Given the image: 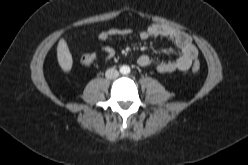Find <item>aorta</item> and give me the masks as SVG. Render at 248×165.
Listing matches in <instances>:
<instances>
[{"label": "aorta", "mask_w": 248, "mask_h": 165, "mask_svg": "<svg viewBox=\"0 0 248 165\" xmlns=\"http://www.w3.org/2000/svg\"><path fill=\"white\" fill-rule=\"evenodd\" d=\"M120 72H121L122 74H129V73H130V67L127 66V65H123V66H121V68H120Z\"/></svg>", "instance_id": "762f6f07"}]
</instances>
